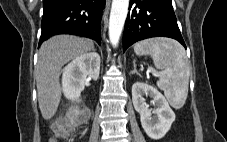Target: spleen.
Returning <instances> with one entry per match:
<instances>
[{
  "label": "spleen",
  "mask_w": 227,
  "mask_h": 142,
  "mask_svg": "<svg viewBox=\"0 0 227 142\" xmlns=\"http://www.w3.org/2000/svg\"><path fill=\"white\" fill-rule=\"evenodd\" d=\"M134 52L152 57L154 66L161 70L157 86L174 108H181L187 99L190 76V65L183 46L172 39L151 38L136 43Z\"/></svg>",
  "instance_id": "1"
}]
</instances>
